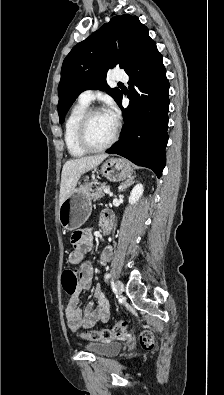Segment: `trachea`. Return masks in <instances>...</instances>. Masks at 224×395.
Listing matches in <instances>:
<instances>
[{
	"label": "trachea",
	"instance_id": "1",
	"mask_svg": "<svg viewBox=\"0 0 224 395\" xmlns=\"http://www.w3.org/2000/svg\"><path fill=\"white\" fill-rule=\"evenodd\" d=\"M118 85H123L122 83H118Z\"/></svg>",
	"mask_w": 224,
	"mask_h": 395
}]
</instances>
